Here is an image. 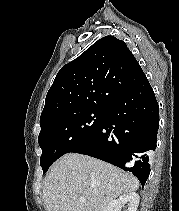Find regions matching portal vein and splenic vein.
I'll return each instance as SVG.
<instances>
[{"label": "portal vein and splenic vein", "mask_w": 179, "mask_h": 211, "mask_svg": "<svg viewBox=\"0 0 179 211\" xmlns=\"http://www.w3.org/2000/svg\"><path fill=\"white\" fill-rule=\"evenodd\" d=\"M85 201H86L85 199H82V198L80 199V202L82 203H84Z\"/></svg>", "instance_id": "obj_1"}]
</instances>
